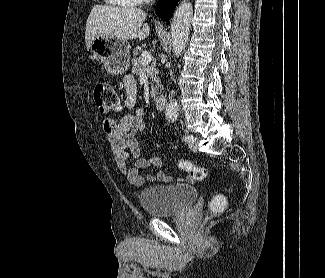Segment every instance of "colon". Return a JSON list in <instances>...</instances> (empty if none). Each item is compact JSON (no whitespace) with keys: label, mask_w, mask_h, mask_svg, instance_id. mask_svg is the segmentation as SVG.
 I'll return each mask as SVG.
<instances>
[{"label":"colon","mask_w":325,"mask_h":278,"mask_svg":"<svg viewBox=\"0 0 325 278\" xmlns=\"http://www.w3.org/2000/svg\"><path fill=\"white\" fill-rule=\"evenodd\" d=\"M93 98L96 107L104 114H113L122 110V101L114 87L108 82L98 83L93 92ZM179 169L188 174L191 180L201 181L208 176L206 167L197 166L185 160L177 162ZM226 204V198L222 194H216L210 202V210L212 213L220 212Z\"/></svg>","instance_id":"colon-1"}]
</instances>
